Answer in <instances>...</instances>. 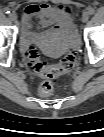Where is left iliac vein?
<instances>
[{"instance_id":"4c4485c4","label":"left iliac vein","mask_w":104,"mask_h":137,"mask_svg":"<svg viewBox=\"0 0 104 137\" xmlns=\"http://www.w3.org/2000/svg\"><path fill=\"white\" fill-rule=\"evenodd\" d=\"M89 20V14L87 12L82 15V22L86 23Z\"/></svg>"}]
</instances>
